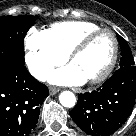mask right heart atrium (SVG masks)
Segmentation results:
<instances>
[{
	"label": "right heart atrium",
	"mask_w": 136,
	"mask_h": 136,
	"mask_svg": "<svg viewBox=\"0 0 136 136\" xmlns=\"http://www.w3.org/2000/svg\"><path fill=\"white\" fill-rule=\"evenodd\" d=\"M24 44L27 68L37 79H44L54 66L66 60V56L52 44L45 31L29 30Z\"/></svg>",
	"instance_id": "obj_1"
}]
</instances>
